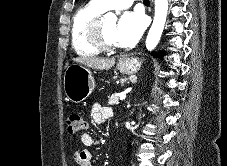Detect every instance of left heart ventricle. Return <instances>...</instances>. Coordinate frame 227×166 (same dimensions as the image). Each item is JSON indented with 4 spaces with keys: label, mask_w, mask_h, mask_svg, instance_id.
<instances>
[{
    "label": "left heart ventricle",
    "mask_w": 227,
    "mask_h": 166,
    "mask_svg": "<svg viewBox=\"0 0 227 166\" xmlns=\"http://www.w3.org/2000/svg\"><path fill=\"white\" fill-rule=\"evenodd\" d=\"M116 26H117V20L110 16H106L104 25H103V36L108 43L113 45L118 44V41L116 39V34H115Z\"/></svg>",
    "instance_id": "1"
}]
</instances>
